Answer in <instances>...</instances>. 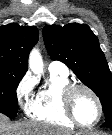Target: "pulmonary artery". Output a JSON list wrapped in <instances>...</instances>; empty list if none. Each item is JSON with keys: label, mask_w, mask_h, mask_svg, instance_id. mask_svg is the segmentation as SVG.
<instances>
[{"label": "pulmonary artery", "mask_w": 112, "mask_h": 135, "mask_svg": "<svg viewBox=\"0 0 112 135\" xmlns=\"http://www.w3.org/2000/svg\"><path fill=\"white\" fill-rule=\"evenodd\" d=\"M49 71L52 73H59L63 75H68L69 71L66 65L60 62H51L48 67Z\"/></svg>", "instance_id": "pulmonary-artery-1"}]
</instances>
